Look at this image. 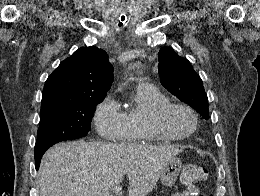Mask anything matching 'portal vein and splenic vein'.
<instances>
[{
  "label": "portal vein and splenic vein",
  "mask_w": 260,
  "mask_h": 196,
  "mask_svg": "<svg viewBox=\"0 0 260 196\" xmlns=\"http://www.w3.org/2000/svg\"><path fill=\"white\" fill-rule=\"evenodd\" d=\"M121 190H122V186H114V188H112V192H114V194H119Z\"/></svg>",
  "instance_id": "1"
}]
</instances>
